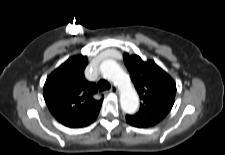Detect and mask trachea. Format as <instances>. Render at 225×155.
I'll use <instances>...</instances> for the list:
<instances>
[{
	"label": "trachea",
	"instance_id": "trachea-1",
	"mask_svg": "<svg viewBox=\"0 0 225 155\" xmlns=\"http://www.w3.org/2000/svg\"><path fill=\"white\" fill-rule=\"evenodd\" d=\"M98 87L100 91H104L110 89V84L106 80L102 79L98 82Z\"/></svg>",
	"mask_w": 225,
	"mask_h": 155
}]
</instances>
